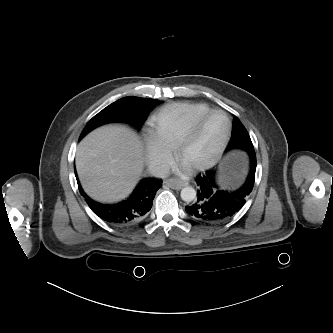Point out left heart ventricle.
I'll list each match as a JSON object with an SVG mask.
<instances>
[{
	"label": "left heart ventricle",
	"instance_id": "obj_1",
	"mask_svg": "<svg viewBox=\"0 0 333 333\" xmlns=\"http://www.w3.org/2000/svg\"><path fill=\"white\" fill-rule=\"evenodd\" d=\"M226 127L227 121L224 116L215 114L208 118L201 125L180 162L188 167L209 159L222 139Z\"/></svg>",
	"mask_w": 333,
	"mask_h": 333
}]
</instances>
